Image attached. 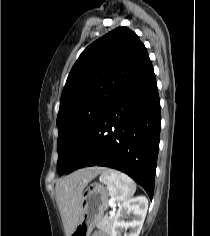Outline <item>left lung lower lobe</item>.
Wrapping results in <instances>:
<instances>
[{"mask_svg": "<svg viewBox=\"0 0 210 236\" xmlns=\"http://www.w3.org/2000/svg\"><path fill=\"white\" fill-rule=\"evenodd\" d=\"M160 99L151 62L115 97L65 171L106 166L128 174L153 198Z\"/></svg>", "mask_w": 210, "mask_h": 236, "instance_id": "0a47b994", "label": "left lung lower lobe"}]
</instances>
